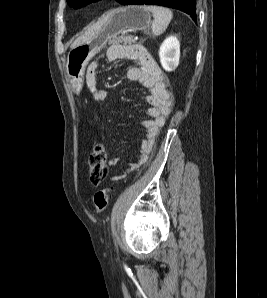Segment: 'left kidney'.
<instances>
[{
    "label": "left kidney",
    "mask_w": 267,
    "mask_h": 298,
    "mask_svg": "<svg viewBox=\"0 0 267 298\" xmlns=\"http://www.w3.org/2000/svg\"><path fill=\"white\" fill-rule=\"evenodd\" d=\"M160 62L164 70L174 71L180 58V43L176 36L167 37L159 49Z\"/></svg>",
    "instance_id": "5707ae66"
}]
</instances>
